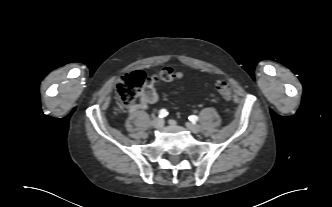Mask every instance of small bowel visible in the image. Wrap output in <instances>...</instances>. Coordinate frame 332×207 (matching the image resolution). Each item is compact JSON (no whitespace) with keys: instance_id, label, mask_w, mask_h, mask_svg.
I'll use <instances>...</instances> for the list:
<instances>
[{"instance_id":"small-bowel-1","label":"small bowel","mask_w":332,"mask_h":207,"mask_svg":"<svg viewBox=\"0 0 332 207\" xmlns=\"http://www.w3.org/2000/svg\"><path fill=\"white\" fill-rule=\"evenodd\" d=\"M159 99L158 93L155 89V82L150 80L143 87L142 95L140 100L134 104L131 108L133 112L144 110L149 105L155 104Z\"/></svg>"}]
</instances>
